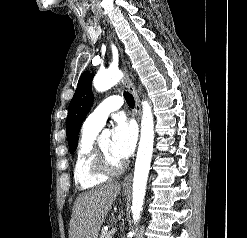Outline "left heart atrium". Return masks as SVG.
<instances>
[{
    "mask_svg": "<svg viewBox=\"0 0 247 238\" xmlns=\"http://www.w3.org/2000/svg\"><path fill=\"white\" fill-rule=\"evenodd\" d=\"M137 141V129L134 123L118 118L113 128L111 146L114 155L120 160L128 158L134 151Z\"/></svg>",
    "mask_w": 247,
    "mask_h": 238,
    "instance_id": "39dd6f15",
    "label": "left heart atrium"
}]
</instances>
